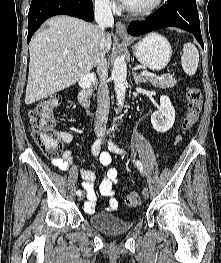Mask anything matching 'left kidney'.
Here are the masks:
<instances>
[{"label": "left kidney", "mask_w": 221, "mask_h": 263, "mask_svg": "<svg viewBox=\"0 0 221 263\" xmlns=\"http://www.w3.org/2000/svg\"><path fill=\"white\" fill-rule=\"evenodd\" d=\"M175 122V109L168 96L160 97V108L151 115L153 128L160 133H165L172 128Z\"/></svg>", "instance_id": "obj_1"}]
</instances>
